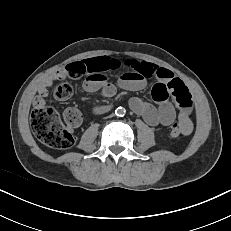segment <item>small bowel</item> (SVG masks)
I'll list each match as a JSON object with an SVG mask.
<instances>
[{
	"instance_id": "small-bowel-1",
	"label": "small bowel",
	"mask_w": 231,
	"mask_h": 231,
	"mask_svg": "<svg viewBox=\"0 0 231 231\" xmlns=\"http://www.w3.org/2000/svg\"><path fill=\"white\" fill-rule=\"evenodd\" d=\"M76 63L81 65L83 75L86 76L83 88L87 92L100 91L105 97L113 96L117 88L129 91L141 90L148 80L154 79L151 96L156 104L153 105L134 97L129 102L130 108L151 126H170L178 119L185 135L193 131L191 93L170 70L146 61L122 62L107 56L94 57ZM121 69L115 82L108 81L106 72ZM66 76L64 68L45 78L37 89L34 105H45L49 87L56 80L64 79Z\"/></svg>"
}]
</instances>
